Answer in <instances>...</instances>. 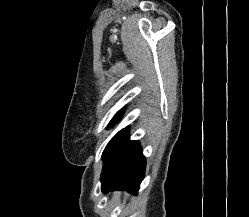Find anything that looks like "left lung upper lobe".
Returning <instances> with one entry per match:
<instances>
[{
    "label": "left lung upper lobe",
    "mask_w": 249,
    "mask_h": 217,
    "mask_svg": "<svg viewBox=\"0 0 249 217\" xmlns=\"http://www.w3.org/2000/svg\"><path fill=\"white\" fill-rule=\"evenodd\" d=\"M121 112L119 111L111 120L109 126H111L113 123H115L119 118H120ZM118 135L117 133L107 144L104 152H103V161H104V166H103V173L109 174L111 171V168L113 166V161L115 158V153L117 149V140H118Z\"/></svg>",
    "instance_id": "5c2ea615"
}]
</instances>
